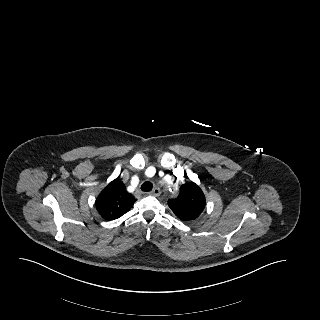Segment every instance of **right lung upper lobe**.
<instances>
[{
  "label": "right lung upper lobe",
  "mask_w": 320,
  "mask_h": 320,
  "mask_svg": "<svg viewBox=\"0 0 320 320\" xmlns=\"http://www.w3.org/2000/svg\"><path fill=\"white\" fill-rule=\"evenodd\" d=\"M136 199L126 191L118 179L110 182L96 198V208L101 217L111 221L127 213Z\"/></svg>",
  "instance_id": "right-lung-upper-lobe-1"
}]
</instances>
